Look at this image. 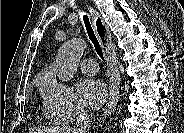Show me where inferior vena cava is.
I'll list each match as a JSON object with an SVG mask.
<instances>
[{
	"mask_svg": "<svg viewBox=\"0 0 184 133\" xmlns=\"http://www.w3.org/2000/svg\"><path fill=\"white\" fill-rule=\"evenodd\" d=\"M76 114H77V124H76V127L73 129V132L87 133L91 125L89 114L82 107H77Z\"/></svg>",
	"mask_w": 184,
	"mask_h": 133,
	"instance_id": "602c4592",
	"label": "inferior vena cava"
}]
</instances>
